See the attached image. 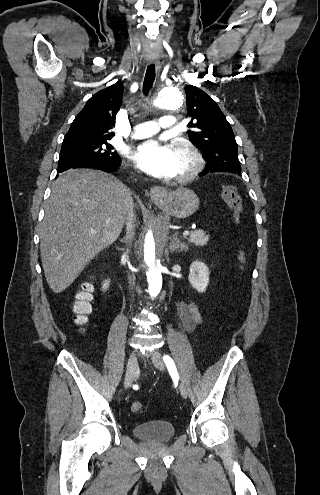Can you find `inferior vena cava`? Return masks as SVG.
<instances>
[{"mask_svg":"<svg viewBox=\"0 0 320 495\" xmlns=\"http://www.w3.org/2000/svg\"><path fill=\"white\" fill-rule=\"evenodd\" d=\"M134 222H135V215L133 213V204H132V198L130 197V204H129V207H128V214H127V218H126V233H127V239L128 240L127 242H131V239L134 235ZM129 279V283L131 285L134 284V279L132 276L129 275L128 277Z\"/></svg>","mask_w":320,"mask_h":495,"instance_id":"602c4592","label":"inferior vena cava"}]
</instances>
